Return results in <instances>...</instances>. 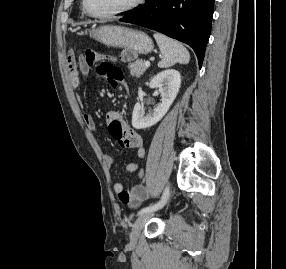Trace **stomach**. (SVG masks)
Here are the masks:
<instances>
[{
	"label": "stomach",
	"mask_w": 286,
	"mask_h": 269,
	"mask_svg": "<svg viewBox=\"0 0 286 269\" xmlns=\"http://www.w3.org/2000/svg\"><path fill=\"white\" fill-rule=\"evenodd\" d=\"M92 36L108 47L136 49L137 54H148L153 48L152 39L144 32L122 26H101Z\"/></svg>",
	"instance_id": "obj_1"
}]
</instances>
